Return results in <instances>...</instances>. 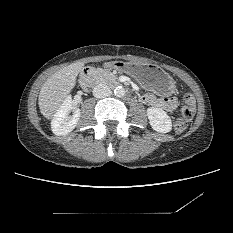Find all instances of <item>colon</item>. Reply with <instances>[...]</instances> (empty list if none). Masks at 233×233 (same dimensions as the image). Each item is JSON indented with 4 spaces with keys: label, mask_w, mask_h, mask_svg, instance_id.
Listing matches in <instances>:
<instances>
[{
    "label": "colon",
    "mask_w": 233,
    "mask_h": 233,
    "mask_svg": "<svg viewBox=\"0 0 233 233\" xmlns=\"http://www.w3.org/2000/svg\"><path fill=\"white\" fill-rule=\"evenodd\" d=\"M196 110V99L192 93H186L183 97V105L181 107V114L175 120V131L182 133L189 121L194 117Z\"/></svg>",
    "instance_id": "5ec220e1"
}]
</instances>
